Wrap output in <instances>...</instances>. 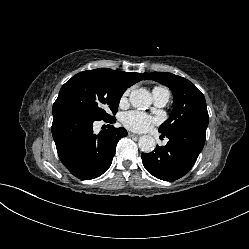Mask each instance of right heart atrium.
I'll return each instance as SVG.
<instances>
[{
  "label": "right heart atrium",
  "mask_w": 249,
  "mask_h": 249,
  "mask_svg": "<svg viewBox=\"0 0 249 249\" xmlns=\"http://www.w3.org/2000/svg\"><path fill=\"white\" fill-rule=\"evenodd\" d=\"M126 95H127V93H125V94L122 96L121 101L125 100Z\"/></svg>",
  "instance_id": "right-heart-atrium-1"
}]
</instances>
